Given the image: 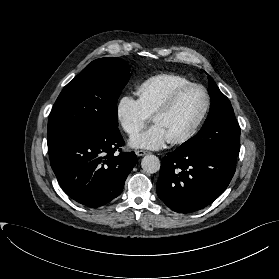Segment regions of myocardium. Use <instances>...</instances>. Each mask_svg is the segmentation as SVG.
<instances>
[{
  "mask_svg": "<svg viewBox=\"0 0 279 279\" xmlns=\"http://www.w3.org/2000/svg\"><path fill=\"white\" fill-rule=\"evenodd\" d=\"M194 88L200 89L204 92V94H205L204 108H203L200 116L196 120V122L184 135H182L178 138L169 140V142L173 145H180V144H184V143L188 142L191 138H193L196 135V133L199 131V129L203 125V123L209 113L210 106H211V97H210V93L207 90V88L198 83H189V84H185L183 86L178 87L170 94V96L167 98V100L164 102V104L152 116V121L155 122V120L158 119L159 117L166 115L167 113H169L172 110V108L178 101L179 97L184 92H186L187 90H190V89H194Z\"/></svg>",
  "mask_w": 279,
  "mask_h": 279,
  "instance_id": "myocardium-1",
  "label": "myocardium"
}]
</instances>
